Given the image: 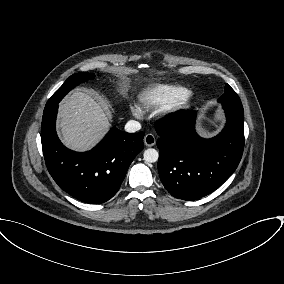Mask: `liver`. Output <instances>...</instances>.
Wrapping results in <instances>:
<instances>
[{
    "instance_id": "liver-1",
    "label": "liver",
    "mask_w": 284,
    "mask_h": 284,
    "mask_svg": "<svg viewBox=\"0 0 284 284\" xmlns=\"http://www.w3.org/2000/svg\"><path fill=\"white\" fill-rule=\"evenodd\" d=\"M58 116L62 142L75 151L91 149L110 128L109 118L100 104L80 91L61 101Z\"/></svg>"
}]
</instances>
